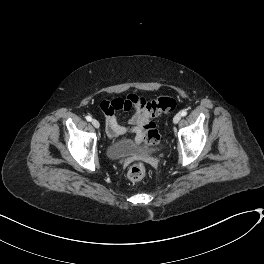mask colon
I'll return each mask as SVG.
<instances>
[{
    "label": "colon",
    "instance_id": "obj_1",
    "mask_svg": "<svg viewBox=\"0 0 264 264\" xmlns=\"http://www.w3.org/2000/svg\"><path fill=\"white\" fill-rule=\"evenodd\" d=\"M176 107V100L171 97H158L149 101L145 106L143 128V141L147 146L158 145L160 135L154 120L162 113L170 112ZM146 174V167L141 162L133 163L128 171L132 182L141 180Z\"/></svg>",
    "mask_w": 264,
    "mask_h": 264
}]
</instances>
